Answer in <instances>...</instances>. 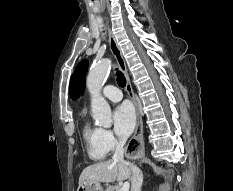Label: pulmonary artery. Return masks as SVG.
I'll return each instance as SVG.
<instances>
[{"label": "pulmonary artery", "mask_w": 233, "mask_h": 191, "mask_svg": "<svg viewBox=\"0 0 233 191\" xmlns=\"http://www.w3.org/2000/svg\"><path fill=\"white\" fill-rule=\"evenodd\" d=\"M103 96L107 100L112 101V102H118L122 99L121 91L113 85L105 86V88L103 89Z\"/></svg>", "instance_id": "e3ab8cb5"}]
</instances>
